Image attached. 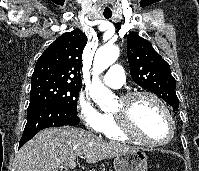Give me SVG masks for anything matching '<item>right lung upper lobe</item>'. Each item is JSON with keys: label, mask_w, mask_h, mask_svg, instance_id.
Returning <instances> with one entry per match:
<instances>
[{"label": "right lung upper lobe", "mask_w": 199, "mask_h": 171, "mask_svg": "<svg viewBox=\"0 0 199 171\" xmlns=\"http://www.w3.org/2000/svg\"><path fill=\"white\" fill-rule=\"evenodd\" d=\"M86 40L81 30L58 37L37 60L32 79H54L82 85L80 65Z\"/></svg>", "instance_id": "cb5924a9"}]
</instances>
